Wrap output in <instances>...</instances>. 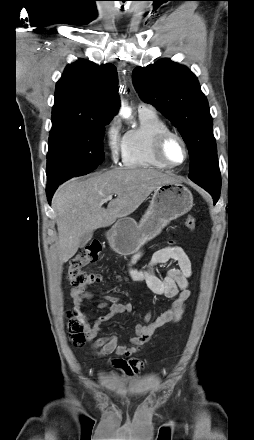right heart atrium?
I'll list each match as a JSON object with an SVG mask.
<instances>
[{"label": "right heart atrium", "instance_id": "d8ad5b80", "mask_svg": "<svg viewBox=\"0 0 254 440\" xmlns=\"http://www.w3.org/2000/svg\"><path fill=\"white\" fill-rule=\"evenodd\" d=\"M125 135L121 131V123L112 117L105 129V141L113 163H118L123 154Z\"/></svg>", "mask_w": 254, "mask_h": 440}]
</instances>
